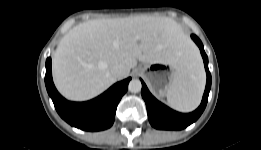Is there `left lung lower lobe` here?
Returning a JSON list of instances; mask_svg holds the SVG:
<instances>
[{
  "label": "left lung lower lobe",
  "instance_id": "0a47b994",
  "mask_svg": "<svg viewBox=\"0 0 261 150\" xmlns=\"http://www.w3.org/2000/svg\"><path fill=\"white\" fill-rule=\"evenodd\" d=\"M191 38L195 41V43L200 48L201 55L204 60L205 70L207 73V83H206V88H205L202 102L198 107V109H196L192 113L182 114L176 112L170 109L169 107L165 106L161 102H159L157 99H155L149 92L145 83L141 80L142 82L141 94L146 103L149 122L156 129H163V130L184 129L190 124H192L193 122H195L203 113L206 107L209 91L211 88V74L208 69V57L203 49V44L200 41V39L196 35H191Z\"/></svg>",
  "mask_w": 261,
  "mask_h": 150
}]
</instances>
